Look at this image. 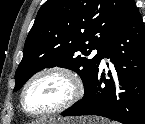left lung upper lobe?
<instances>
[{"instance_id":"1","label":"left lung upper lobe","mask_w":145,"mask_h":124,"mask_svg":"<svg viewBox=\"0 0 145 124\" xmlns=\"http://www.w3.org/2000/svg\"><path fill=\"white\" fill-rule=\"evenodd\" d=\"M134 0H47L39 9L15 73V88L38 71L64 67L91 87L110 42L127 23ZM97 49L93 58L88 56Z\"/></svg>"}]
</instances>
